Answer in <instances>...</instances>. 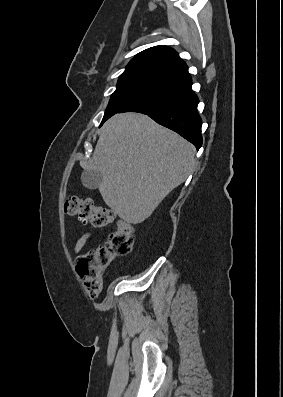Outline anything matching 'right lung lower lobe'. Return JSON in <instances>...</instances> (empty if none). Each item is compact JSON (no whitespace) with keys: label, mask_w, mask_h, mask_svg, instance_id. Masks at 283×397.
<instances>
[{"label":"right lung lower lobe","mask_w":283,"mask_h":397,"mask_svg":"<svg viewBox=\"0 0 283 397\" xmlns=\"http://www.w3.org/2000/svg\"><path fill=\"white\" fill-rule=\"evenodd\" d=\"M191 85L192 79L189 76L135 101L119 113L146 114L157 123L180 134L198 150L202 145V120L197 110L199 99Z\"/></svg>","instance_id":"obj_1"}]
</instances>
